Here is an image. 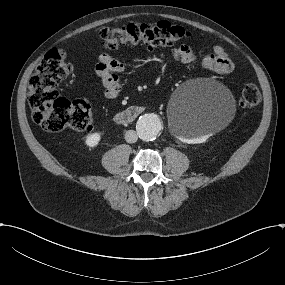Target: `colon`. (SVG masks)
Returning a JSON list of instances; mask_svg holds the SVG:
<instances>
[{"instance_id": "1", "label": "colon", "mask_w": 285, "mask_h": 285, "mask_svg": "<svg viewBox=\"0 0 285 285\" xmlns=\"http://www.w3.org/2000/svg\"><path fill=\"white\" fill-rule=\"evenodd\" d=\"M98 35L104 47L116 49L124 44L143 43L150 47L168 45L190 34L179 25L158 21L154 24L131 23L122 27H105ZM72 72L73 66L66 61L65 52L54 48L43 57L30 78L27 100L32 119L46 131H84L93 123V111L88 102L69 101L58 93V84ZM260 101L259 88L253 83L247 84L241 93V106L254 108Z\"/></svg>"}]
</instances>
